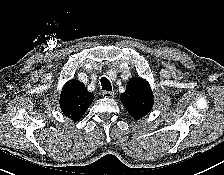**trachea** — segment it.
I'll return each instance as SVG.
<instances>
[{
	"label": "trachea",
	"instance_id": "1",
	"mask_svg": "<svg viewBox=\"0 0 224 175\" xmlns=\"http://www.w3.org/2000/svg\"><path fill=\"white\" fill-rule=\"evenodd\" d=\"M100 82H101V86L103 90H106V91L112 90L111 83L107 78L105 77L101 78Z\"/></svg>",
	"mask_w": 224,
	"mask_h": 175
}]
</instances>
